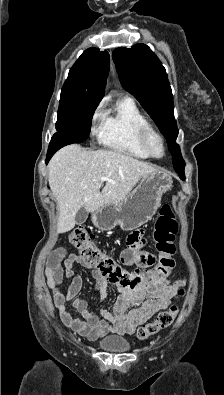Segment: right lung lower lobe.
Listing matches in <instances>:
<instances>
[{
    "mask_svg": "<svg viewBox=\"0 0 224 395\" xmlns=\"http://www.w3.org/2000/svg\"><path fill=\"white\" fill-rule=\"evenodd\" d=\"M68 144H72V142H70V141L60 142V141L51 139V142H50V145L48 148V152H47L46 164L49 162V160L51 159V157L57 150H59L60 148H62L63 146H66Z\"/></svg>",
    "mask_w": 224,
    "mask_h": 395,
    "instance_id": "98d812e1",
    "label": "right lung lower lobe"
}]
</instances>
